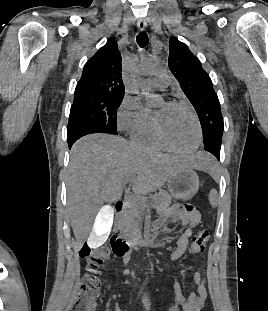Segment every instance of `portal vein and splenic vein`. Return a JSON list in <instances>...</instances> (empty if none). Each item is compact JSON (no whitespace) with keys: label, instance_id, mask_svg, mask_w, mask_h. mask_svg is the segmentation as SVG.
I'll use <instances>...</instances> for the list:
<instances>
[{"label":"portal vein and splenic vein","instance_id":"portal-vein-and-splenic-vein-1","mask_svg":"<svg viewBox=\"0 0 268 311\" xmlns=\"http://www.w3.org/2000/svg\"><path fill=\"white\" fill-rule=\"evenodd\" d=\"M134 180V177H128V178H126V182H131V181H133Z\"/></svg>","mask_w":268,"mask_h":311}]
</instances>
